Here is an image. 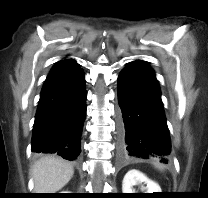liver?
Listing matches in <instances>:
<instances>
[{"label":"liver","instance_id":"obj_1","mask_svg":"<svg viewBox=\"0 0 208 198\" xmlns=\"http://www.w3.org/2000/svg\"><path fill=\"white\" fill-rule=\"evenodd\" d=\"M34 191L37 193H55L62 189L74 174L73 165L52 156L37 161L31 170Z\"/></svg>","mask_w":208,"mask_h":198}]
</instances>
